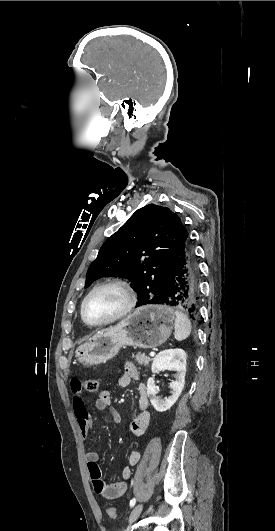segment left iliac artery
<instances>
[{
    "mask_svg": "<svg viewBox=\"0 0 275 531\" xmlns=\"http://www.w3.org/2000/svg\"><path fill=\"white\" fill-rule=\"evenodd\" d=\"M135 503H136V499L133 498V499L130 501V507H134Z\"/></svg>",
    "mask_w": 275,
    "mask_h": 531,
    "instance_id": "1",
    "label": "left iliac artery"
}]
</instances>
